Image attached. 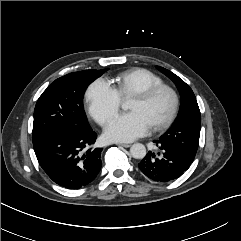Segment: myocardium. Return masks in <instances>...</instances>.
<instances>
[{
	"label": "myocardium",
	"instance_id": "myocardium-1",
	"mask_svg": "<svg viewBox=\"0 0 241 241\" xmlns=\"http://www.w3.org/2000/svg\"><path fill=\"white\" fill-rule=\"evenodd\" d=\"M162 91H166L170 94V96L172 98V106H171V110H170L167 118L165 120H163L162 122L152 126V128L155 131L165 130V129L169 128L172 125V123L174 122V120L177 116V113L179 110V104H180L178 93L176 92V90L173 87L162 83V84L151 86V87H149L143 91H140L132 96V99L136 98V99H140L142 101L147 102V101H150L151 99H153L158 93H160Z\"/></svg>",
	"mask_w": 241,
	"mask_h": 241
}]
</instances>
